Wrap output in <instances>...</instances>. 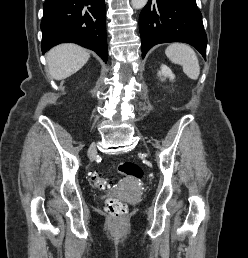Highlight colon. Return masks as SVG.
Instances as JSON below:
<instances>
[{"label": "colon", "mask_w": 248, "mask_h": 258, "mask_svg": "<svg viewBox=\"0 0 248 258\" xmlns=\"http://www.w3.org/2000/svg\"><path fill=\"white\" fill-rule=\"evenodd\" d=\"M118 170L121 174H124L136 180H139L143 177L142 167L132 161L120 163L118 166ZM91 180L93 184L100 190H107L111 186L110 181L106 178H103L99 172H92ZM106 210L111 216L115 218H121L127 212V205L123 201L111 197L108 198L106 201Z\"/></svg>", "instance_id": "colon-1"}]
</instances>
